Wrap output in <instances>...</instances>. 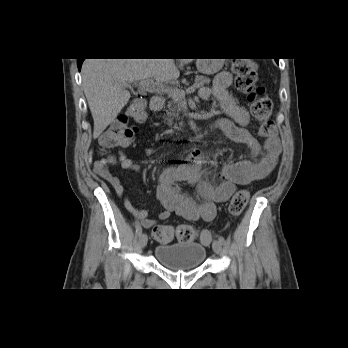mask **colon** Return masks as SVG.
Listing matches in <instances>:
<instances>
[{
	"instance_id": "1",
	"label": "colon",
	"mask_w": 348,
	"mask_h": 348,
	"mask_svg": "<svg viewBox=\"0 0 348 348\" xmlns=\"http://www.w3.org/2000/svg\"><path fill=\"white\" fill-rule=\"evenodd\" d=\"M232 72L235 75L236 87L247 96L250 111L253 117L259 122L258 136L269 138L275 134V125L271 119L273 102L265 94L262 87L256 83V69L254 60L251 58H238L232 63ZM147 120L144 102L133 101L127 108L124 115L117 118L100 137L99 143L103 150L128 145L135 132L134 124H143ZM103 161L112 162L115 158L106 154ZM249 200V193L246 190L236 192L229 204L230 216L238 217L244 210ZM155 240L168 243L174 238L180 242H191L197 236V230L187 224L172 227L170 225H156L152 229ZM213 234L209 230L200 232V240L203 244H209Z\"/></svg>"
}]
</instances>
